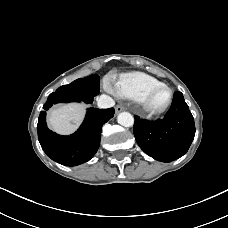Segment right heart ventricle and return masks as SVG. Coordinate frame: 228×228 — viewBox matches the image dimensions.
Returning a JSON list of instances; mask_svg holds the SVG:
<instances>
[{
    "label": "right heart ventricle",
    "mask_w": 228,
    "mask_h": 228,
    "mask_svg": "<svg viewBox=\"0 0 228 228\" xmlns=\"http://www.w3.org/2000/svg\"><path fill=\"white\" fill-rule=\"evenodd\" d=\"M162 84L158 79L142 72H132L121 76L113 91L122 98L139 101L151 87Z\"/></svg>",
    "instance_id": "e07e8e85"
}]
</instances>
